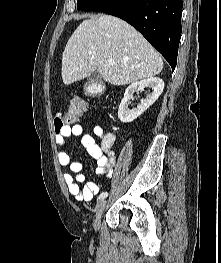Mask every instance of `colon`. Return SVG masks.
<instances>
[{"instance_id":"obj_1","label":"colon","mask_w":221,"mask_h":263,"mask_svg":"<svg viewBox=\"0 0 221 263\" xmlns=\"http://www.w3.org/2000/svg\"><path fill=\"white\" fill-rule=\"evenodd\" d=\"M86 110L87 105L81 98H73L68 110L64 113H58L55 117L54 126L56 133H61L64 128L81 118Z\"/></svg>"}]
</instances>
